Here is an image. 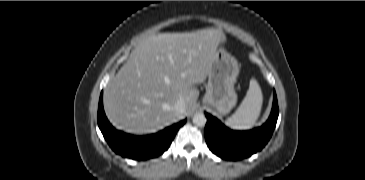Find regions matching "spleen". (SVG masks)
<instances>
[{"label": "spleen", "instance_id": "1", "mask_svg": "<svg viewBox=\"0 0 365 180\" xmlns=\"http://www.w3.org/2000/svg\"><path fill=\"white\" fill-rule=\"evenodd\" d=\"M263 95L258 82L250 80L249 89L236 112L226 120V125L235 130L252 128L260 116Z\"/></svg>", "mask_w": 365, "mask_h": 180}]
</instances>
